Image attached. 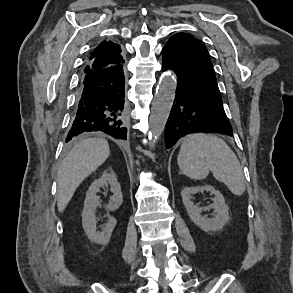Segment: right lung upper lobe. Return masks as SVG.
<instances>
[{
	"mask_svg": "<svg viewBox=\"0 0 293 293\" xmlns=\"http://www.w3.org/2000/svg\"><path fill=\"white\" fill-rule=\"evenodd\" d=\"M123 63L120 45L112 41H104L93 51L84 71L120 66Z\"/></svg>",
	"mask_w": 293,
	"mask_h": 293,
	"instance_id": "obj_1",
	"label": "right lung upper lobe"
}]
</instances>
